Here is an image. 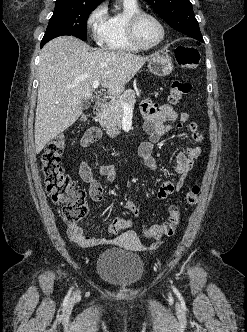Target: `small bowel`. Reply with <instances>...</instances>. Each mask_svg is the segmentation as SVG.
Returning a JSON list of instances; mask_svg holds the SVG:
<instances>
[{
    "mask_svg": "<svg viewBox=\"0 0 247 332\" xmlns=\"http://www.w3.org/2000/svg\"><path fill=\"white\" fill-rule=\"evenodd\" d=\"M141 112L143 129L148 134V140L140 144L138 153L148 168L152 170L156 169L157 162L153 156L154 145L173 129L169 124L171 122L177 121L178 127L186 126L191 133L193 141L197 144V146L188 148L186 152L177 153L175 165V171L178 174L177 181L164 182L154 195L155 198L163 200L183 188L188 173L192 169L194 160L201 154L199 145L203 142L204 137L198 132V125L190 121L189 114L186 112H178L172 105L155 104L151 99H145L141 105ZM100 137L101 131L96 127H92L84 134L81 139V145L87 148L89 145L99 140ZM98 172L106 177L109 182H113L116 179L115 168L110 163H102L98 168ZM79 175L81 179L88 184L92 200L96 202L101 201L103 198L102 186L87 163L82 162L80 164ZM124 206L134 216L139 215L140 205L138 202L129 199L125 202ZM67 234L73 242L85 247H95L111 242V240L106 238L85 235L83 228L77 223L68 225Z\"/></svg>",
    "mask_w": 247,
    "mask_h": 332,
    "instance_id": "small-bowel-1",
    "label": "small bowel"
}]
</instances>
